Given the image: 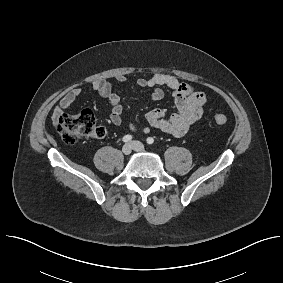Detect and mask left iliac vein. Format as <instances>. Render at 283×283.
I'll return each instance as SVG.
<instances>
[{
	"mask_svg": "<svg viewBox=\"0 0 283 283\" xmlns=\"http://www.w3.org/2000/svg\"><path fill=\"white\" fill-rule=\"evenodd\" d=\"M130 145L137 152L144 151V149H145L144 145L141 142H139V141H132L130 143Z\"/></svg>",
	"mask_w": 283,
	"mask_h": 283,
	"instance_id": "4c4485c4",
	"label": "left iliac vein"
}]
</instances>
